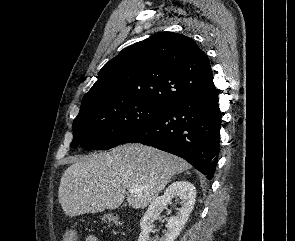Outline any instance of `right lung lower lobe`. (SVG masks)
I'll list each match as a JSON object with an SVG mask.
<instances>
[{"label":"right lung lower lobe","mask_w":295,"mask_h":241,"mask_svg":"<svg viewBox=\"0 0 295 241\" xmlns=\"http://www.w3.org/2000/svg\"><path fill=\"white\" fill-rule=\"evenodd\" d=\"M221 116L213 85L173 100L120 144L141 143L175 154L211 179L219 154Z\"/></svg>","instance_id":"1"}]
</instances>
